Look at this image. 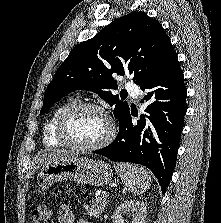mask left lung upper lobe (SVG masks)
Segmentation results:
<instances>
[{
	"label": "left lung upper lobe",
	"mask_w": 221,
	"mask_h": 223,
	"mask_svg": "<svg viewBox=\"0 0 221 223\" xmlns=\"http://www.w3.org/2000/svg\"><path fill=\"white\" fill-rule=\"evenodd\" d=\"M170 45L161 24L145 12H131L115 19L71 50L47 86L40 114L68 93L83 89L115 105L114 115L120 122L129 106L111 93L117 88L112 74H132L133 82L140 85L157 69Z\"/></svg>",
	"instance_id": "left-lung-upper-lobe-1"
}]
</instances>
